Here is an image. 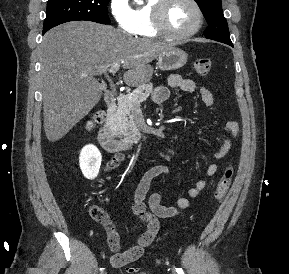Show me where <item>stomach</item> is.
<instances>
[{"instance_id":"obj_1","label":"stomach","mask_w":289,"mask_h":274,"mask_svg":"<svg viewBox=\"0 0 289 274\" xmlns=\"http://www.w3.org/2000/svg\"><path fill=\"white\" fill-rule=\"evenodd\" d=\"M187 57V53L183 50L173 48L158 57L157 65L163 71L179 69L186 64Z\"/></svg>"}]
</instances>
